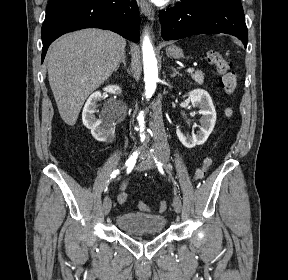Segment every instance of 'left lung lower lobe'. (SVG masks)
Returning <instances> with one entry per match:
<instances>
[{
  "mask_svg": "<svg viewBox=\"0 0 288 280\" xmlns=\"http://www.w3.org/2000/svg\"><path fill=\"white\" fill-rule=\"evenodd\" d=\"M162 37L180 39L196 34L226 33L247 47L248 32L243 11L216 0H182L159 13Z\"/></svg>",
  "mask_w": 288,
  "mask_h": 280,
  "instance_id": "left-lung-lower-lobe-1",
  "label": "left lung lower lobe"
}]
</instances>
